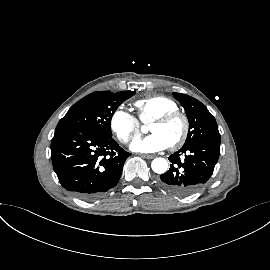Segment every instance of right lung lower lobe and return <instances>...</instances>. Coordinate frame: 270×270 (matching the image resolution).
<instances>
[{
    "mask_svg": "<svg viewBox=\"0 0 270 270\" xmlns=\"http://www.w3.org/2000/svg\"><path fill=\"white\" fill-rule=\"evenodd\" d=\"M130 155L113 138L85 129H56L51 141L53 168L61 185L85 200L115 187Z\"/></svg>",
    "mask_w": 270,
    "mask_h": 270,
    "instance_id": "right-lung-lower-lobe-1",
    "label": "right lung lower lobe"
}]
</instances>
